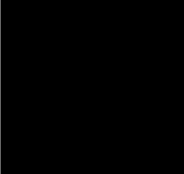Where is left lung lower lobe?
<instances>
[{"instance_id": "1", "label": "left lung lower lobe", "mask_w": 184, "mask_h": 174, "mask_svg": "<svg viewBox=\"0 0 184 174\" xmlns=\"http://www.w3.org/2000/svg\"><path fill=\"white\" fill-rule=\"evenodd\" d=\"M164 133L126 124L120 135V148L130 154H141L151 150Z\"/></svg>"}]
</instances>
